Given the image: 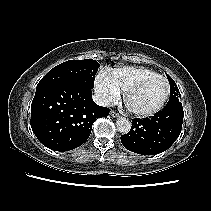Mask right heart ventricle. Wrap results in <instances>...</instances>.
Returning <instances> with one entry per match:
<instances>
[{
  "label": "right heart ventricle",
  "mask_w": 211,
  "mask_h": 211,
  "mask_svg": "<svg viewBox=\"0 0 211 211\" xmlns=\"http://www.w3.org/2000/svg\"><path fill=\"white\" fill-rule=\"evenodd\" d=\"M110 74L121 92H125L146 77L158 75V73L152 69L139 66L116 68L113 69Z\"/></svg>",
  "instance_id": "1"
}]
</instances>
